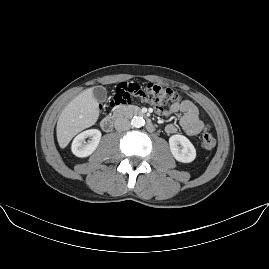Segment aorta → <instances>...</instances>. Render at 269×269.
I'll use <instances>...</instances> for the list:
<instances>
[{
	"label": "aorta",
	"mask_w": 269,
	"mask_h": 269,
	"mask_svg": "<svg viewBox=\"0 0 269 269\" xmlns=\"http://www.w3.org/2000/svg\"><path fill=\"white\" fill-rule=\"evenodd\" d=\"M144 124H145V120L139 116H135L131 120V125L136 128L142 127Z\"/></svg>",
	"instance_id": "obj_1"
}]
</instances>
